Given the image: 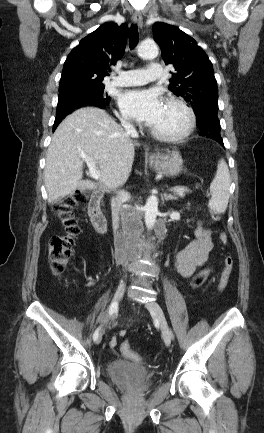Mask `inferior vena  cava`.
Returning <instances> with one entry per match:
<instances>
[{
	"mask_svg": "<svg viewBox=\"0 0 264 433\" xmlns=\"http://www.w3.org/2000/svg\"><path fill=\"white\" fill-rule=\"evenodd\" d=\"M122 126L124 127L127 134L135 135L136 130L128 121L122 120L121 122ZM128 197V194L120 190L117 193V196L112 199V222L113 227H118L119 218H121V208L123 207V202ZM116 236H122V232H119V230H115Z\"/></svg>",
	"mask_w": 264,
	"mask_h": 433,
	"instance_id": "602c4592",
	"label": "inferior vena cava"
}]
</instances>
